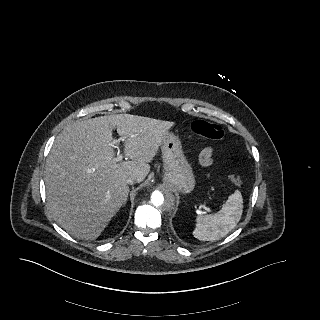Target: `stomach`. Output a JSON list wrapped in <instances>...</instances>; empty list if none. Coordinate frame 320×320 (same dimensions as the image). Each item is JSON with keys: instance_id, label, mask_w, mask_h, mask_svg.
<instances>
[{"instance_id": "1", "label": "stomach", "mask_w": 320, "mask_h": 320, "mask_svg": "<svg viewBox=\"0 0 320 320\" xmlns=\"http://www.w3.org/2000/svg\"><path fill=\"white\" fill-rule=\"evenodd\" d=\"M160 146L165 183L181 193L192 192L195 187V177L179 138L173 133L166 132Z\"/></svg>"}]
</instances>
